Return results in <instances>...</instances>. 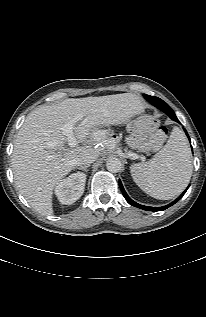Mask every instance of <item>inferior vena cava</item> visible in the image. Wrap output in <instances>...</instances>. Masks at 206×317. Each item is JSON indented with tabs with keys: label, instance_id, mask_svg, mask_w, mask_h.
<instances>
[{
	"label": "inferior vena cava",
	"instance_id": "1",
	"mask_svg": "<svg viewBox=\"0 0 206 317\" xmlns=\"http://www.w3.org/2000/svg\"><path fill=\"white\" fill-rule=\"evenodd\" d=\"M98 155L94 154V153H85L81 156H79L76 160H75V164L77 166H86V165H90L91 163H93L96 159H97Z\"/></svg>",
	"mask_w": 206,
	"mask_h": 317
}]
</instances>
